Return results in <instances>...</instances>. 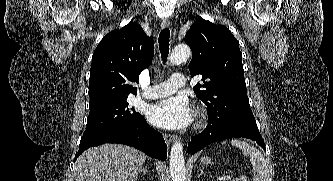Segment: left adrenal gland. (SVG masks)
Masks as SVG:
<instances>
[{"instance_id":"obj_1","label":"left adrenal gland","mask_w":333,"mask_h":181,"mask_svg":"<svg viewBox=\"0 0 333 181\" xmlns=\"http://www.w3.org/2000/svg\"><path fill=\"white\" fill-rule=\"evenodd\" d=\"M201 175H205V176H207V174L203 171L202 168L199 169L198 177H200Z\"/></svg>"}]
</instances>
